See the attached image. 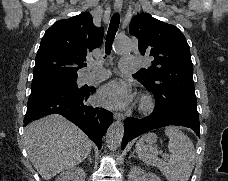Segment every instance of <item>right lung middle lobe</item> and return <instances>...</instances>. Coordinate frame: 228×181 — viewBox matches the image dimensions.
Wrapping results in <instances>:
<instances>
[{"label":"right lung middle lobe","instance_id":"right-lung-middle-lobe-1","mask_svg":"<svg viewBox=\"0 0 228 181\" xmlns=\"http://www.w3.org/2000/svg\"><path fill=\"white\" fill-rule=\"evenodd\" d=\"M77 76H68V77H53L40 80H33L31 88L44 85H58V86H72L75 90H78L76 84Z\"/></svg>","mask_w":228,"mask_h":181}]
</instances>
